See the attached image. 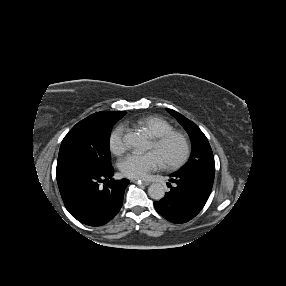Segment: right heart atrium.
Listing matches in <instances>:
<instances>
[{"mask_svg": "<svg viewBox=\"0 0 286 286\" xmlns=\"http://www.w3.org/2000/svg\"><path fill=\"white\" fill-rule=\"evenodd\" d=\"M108 146L114 155H122L129 149L126 129L122 125L114 127L108 135Z\"/></svg>", "mask_w": 286, "mask_h": 286, "instance_id": "right-heart-atrium-1", "label": "right heart atrium"}]
</instances>
